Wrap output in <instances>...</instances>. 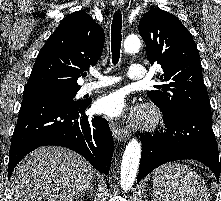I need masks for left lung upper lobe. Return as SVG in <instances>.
I'll return each mask as SVG.
<instances>
[{
    "label": "left lung upper lobe",
    "instance_id": "1",
    "mask_svg": "<svg viewBox=\"0 0 221 201\" xmlns=\"http://www.w3.org/2000/svg\"><path fill=\"white\" fill-rule=\"evenodd\" d=\"M151 65L159 64L161 85L147 91L163 114L177 116L192 109L211 110L202 68L191 33L173 14L159 8L148 11L139 22Z\"/></svg>",
    "mask_w": 221,
    "mask_h": 201
}]
</instances>
